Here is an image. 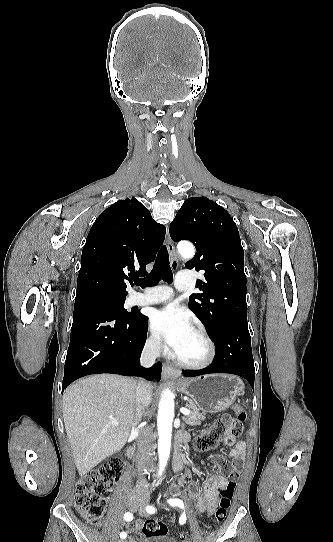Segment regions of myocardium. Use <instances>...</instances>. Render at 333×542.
<instances>
[{
	"instance_id": "1",
	"label": "myocardium",
	"mask_w": 333,
	"mask_h": 542,
	"mask_svg": "<svg viewBox=\"0 0 333 542\" xmlns=\"http://www.w3.org/2000/svg\"><path fill=\"white\" fill-rule=\"evenodd\" d=\"M194 331L197 333V335L201 338V340L206 346L207 353L205 358L201 361L189 362L175 357L171 352H168V357L179 367L192 370H201L209 367L214 362L216 356V347L212 338L203 327L197 326L194 328Z\"/></svg>"
}]
</instances>
